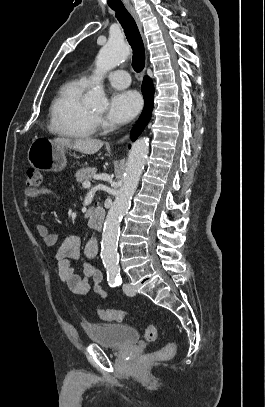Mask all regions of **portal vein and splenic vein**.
Listing matches in <instances>:
<instances>
[{
	"instance_id": "obj_1",
	"label": "portal vein and splenic vein",
	"mask_w": 265,
	"mask_h": 407,
	"mask_svg": "<svg viewBox=\"0 0 265 407\" xmlns=\"http://www.w3.org/2000/svg\"><path fill=\"white\" fill-rule=\"evenodd\" d=\"M82 186H83L84 188H89V187L91 186V182H90V181H84V182L82 183Z\"/></svg>"
}]
</instances>
